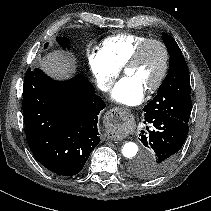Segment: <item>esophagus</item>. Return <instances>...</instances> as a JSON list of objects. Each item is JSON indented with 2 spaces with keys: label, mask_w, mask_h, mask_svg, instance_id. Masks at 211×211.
Here are the masks:
<instances>
[{
  "label": "esophagus",
  "mask_w": 211,
  "mask_h": 211,
  "mask_svg": "<svg viewBox=\"0 0 211 211\" xmlns=\"http://www.w3.org/2000/svg\"><path fill=\"white\" fill-rule=\"evenodd\" d=\"M122 111H125V109L124 108H119V107L118 108H113L111 110V112H113L114 114H121ZM108 138H112L114 140H117L116 136H110V135H108Z\"/></svg>",
  "instance_id": "1"
}]
</instances>
